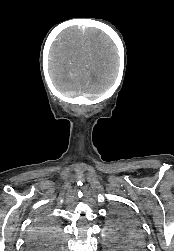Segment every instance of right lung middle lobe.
I'll use <instances>...</instances> for the list:
<instances>
[{
  "instance_id": "1",
  "label": "right lung middle lobe",
  "mask_w": 174,
  "mask_h": 251,
  "mask_svg": "<svg viewBox=\"0 0 174 251\" xmlns=\"http://www.w3.org/2000/svg\"><path fill=\"white\" fill-rule=\"evenodd\" d=\"M58 233L59 227L50 218H39L29 235L28 246L31 250H59Z\"/></svg>"
}]
</instances>
